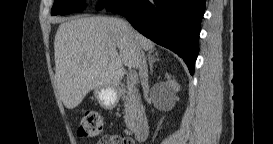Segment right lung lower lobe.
Wrapping results in <instances>:
<instances>
[{
	"instance_id": "right-lung-lower-lobe-1",
	"label": "right lung lower lobe",
	"mask_w": 273,
	"mask_h": 144,
	"mask_svg": "<svg viewBox=\"0 0 273 144\" xmlns=\"http://www.w3.org/2000/svg\"><path fill=\"white\" fill-rule=\"evenodd\" d=\"M107 10L124 15L144 36L178 54L193 75L205 0H112Z\"/></svg>"
}]
</instances>
